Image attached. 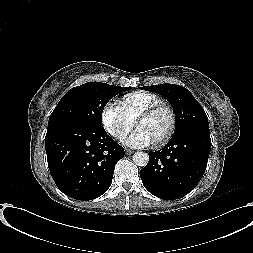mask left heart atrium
Returning a JSON list of instances; mask_svg holds the SVG:
<instances>
[{
	"mask_svg": "<svg viewBox=\"0 0 253 253\" xmlns=\"http://www.w3.org/2000/svg\"><path fill=\"white\" fill-rule=\"evenodd\" d=\"M124 143L133 148H143L155 143L151 135L144 129L137 128L125 140Z\"/></svg>",
	"mask_w": 253,
	"mask_h": 253,
	"instance_id": "39dd6f15",
	"label": "left heart atrium"
}]
</instances>
